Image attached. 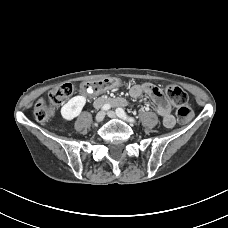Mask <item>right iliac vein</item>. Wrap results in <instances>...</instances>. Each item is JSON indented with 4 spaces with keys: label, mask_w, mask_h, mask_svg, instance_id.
<instances>
[{
    "label": "right iliac vein",
    "mask_w": 228,
    "mask_h": 228,
    "mask_svg": "<svg viewBox=\"0 0 228 228\" xmlns=\"http://www.w3.org/2000/svg\"><path fill=\"white\" fill-rule=\"evenodd\" d=\"M104 118H105V112L100 111L97 113V115L95 117V121L99 123V122H102Z\"/></svg>",
    "instance_id": "right-iliac-vein-1"
}]
</instances>
